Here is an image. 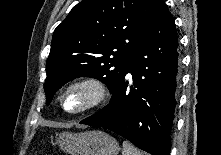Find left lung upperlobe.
<instances>
[{"mask_svg": "<svg viewBox=\"0 0 221 155\" xmlns=\"http://www.w3.org/2000/svg\"><path fill=\"white\" fill-rule=\"evenodd\" d=\"M163 0H83L55 29L47 59L46 104L68 81L88 76L114 90Z\"/></svg>", "mask_w": 221, "mask_h": 155, "instance_id": "5c2ea615", "label": "left lung upper lobe"}]
</instances>
